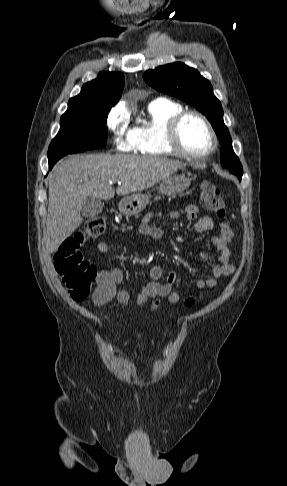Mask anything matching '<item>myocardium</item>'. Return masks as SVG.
Returning a JSON list of instances; mask_svg holds the SVG:
<instances>
[{"mask_svg": "<svg viewBox=\"0 0 287 486\" xmlns=\"http://www.w3.org/2000/svg\"><path fill=\"white\" fill-rule=\"evenodd\" d=\"M194 116L200 119V121L205 125L206 129L208 130L210 137H211V146L207 151L204 152H191L183 147L180 141L179 132L180 127L183 121L190 117ZM166 142L168 146L173 150L176 154L181 155L186 158L192 159H201L211 156L218 147V137L217 134L208 120V118L201 112L197 110H183L176 114L174 117L171 118L169 121L167 128H166Z\"/></svg>", "mask_w": 287, "mask_h": 486, "instance_id": "f54148a6", "label": "myocardium"}]
</instances>
